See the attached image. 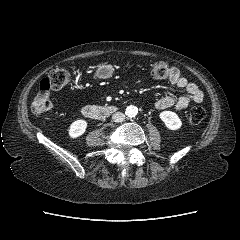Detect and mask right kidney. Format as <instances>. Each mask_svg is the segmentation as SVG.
I'll list each match as a JSON object with an SVG mask.
<instances>
[{
	"instance_id": "ca27d5eb",
	"label": "right kidney",
	"mask_w": 240,
	"mask_h": 240,
	"mask_svg": "<svg viewBox=\"0 0 240 240\" xmlns=\"http://www.w3.org/2000/svg\"><path fill=\"white\" fill-rule=\"evenodd\" d=\"M87 128V122L83 119L74 121L69 127V136L71 138H77L85 133Z\"/></svg>"
}]
</instances>
